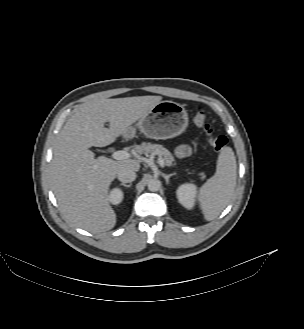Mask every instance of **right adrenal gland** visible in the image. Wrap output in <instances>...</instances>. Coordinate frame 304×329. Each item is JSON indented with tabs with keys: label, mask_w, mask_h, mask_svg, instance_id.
Wrapping results in <instances>:
<instances>
[{
	"label": "right adrenal gland",
	"mask_w": 304,
	"mask_h": 329,
	"mask_svg": "<svg viewBox=\"0 0 304 329\" xmlns=\"http://www.w3.org/2000/svg\"><path fill=\"white\" fill-rule=\"evenodd\" d=\"M120 185H121V186H124V187H128V188L132 186L131 183H130V184L121 183Z\"/></svg>",
	"instance_id": "2a0ac1e0"
}]
</instances>
